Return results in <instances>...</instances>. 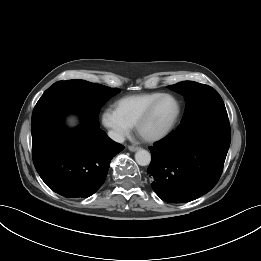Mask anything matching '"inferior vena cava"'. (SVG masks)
Masks as SVG:
<instances>
[{
    "label": "inferior vena cava",
    "mask_w": 261,
    "mask_h": 261,
    "mask_svg": "<svg viewBox=\"0 0 261 261\" xmlns=\"http://www.w3.org/2000/svg\"><path fill=\"white\" fill-rule=\"evenodd\" d=\"M108 136L115 142L123 143L125 138L122 134L116 132V131H109Z\"/></svg>",
    "instance_id": "1"
}]
</instances>
